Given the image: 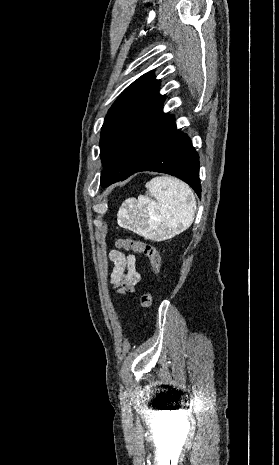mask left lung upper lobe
Segmentation results:
<instances>
[{
  "mask_svg": "<svg viewBox=\"0 0 279 465\" xmlns=\"http://www.w3.org/2000/svg\"><path fill=\"white\" fill-rule=\"evenodd\" d=\"M159 85L150 71L129 85L109 109L100 139L102 186L128 178L176 128L174 116L162 110L165 98Z\"/></svg>",
  "mask_w": 279,
  "mask_h": 465,
  "instance_id": "5c2ea615",
  "label": "left lung upper lobe"
}]
</instances>
